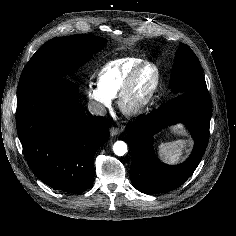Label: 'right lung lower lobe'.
Listing matches in <instances>:
<instances>
[{"label":"right lung lower lobe","mask_w":236,"mask_h":236,"mask_svg":"<svg viewBox=\"0 0 236 236\" xmlns=\"http://www.w3.org/2000/svg\"><path fill=\"white\" fill-rule=\"evenodd\" d=\"M78 87L51 78L18 87L16 125L33 173L56 190L79 194L93 183L94 155L109 138L101 116L78 110Z\"/></svg>","instance_id":"98d812e1"}]
</instances>
